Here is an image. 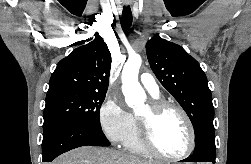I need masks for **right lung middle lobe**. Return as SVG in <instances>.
I'll list each match as a JSON object with an SVG mask.
<instances>
[{
  "label": "right lung middle lobe",
  "mask_w": 251,
  "mask_h": 164,
  "mask_svg": "<svg viewBox=\"0 0 251 164\" xmlns=\"http://www.w3.org/2000/svg\"><path fill=\"white\" fill-rule=\"evenodd\" d=\"M106 93L56 90L47 93L44 124L62 121L101 128L100 107Z\"/></svg>",
  "instance_id": "obj_1"
}]
</instances>
